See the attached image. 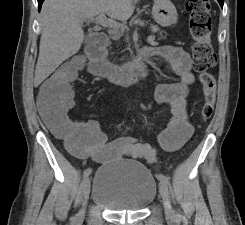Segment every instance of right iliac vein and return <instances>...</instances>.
I'll return each mask as SVG.
<instances>
[{
    "instance_id": "1",
    "label": "right iliac vein",
    "mask_w": 245,
    "mask_h": 225,
    "mask_svg": "<svg viewBox=\"0 0 245 225\" xmlns=\"http://www.w3.org/2000/svg\"><path fill=\"white\" fill-rule=\"evenodd\" d=\"M90 187H91V181L89 177H86L83 180L82 183V193H83V202H82V208L80 209V211L78 212V214L75 217V220H81L82 218H84L85 216V206H86V202L90 193Z\"/></svg>"
}]
</instances>
